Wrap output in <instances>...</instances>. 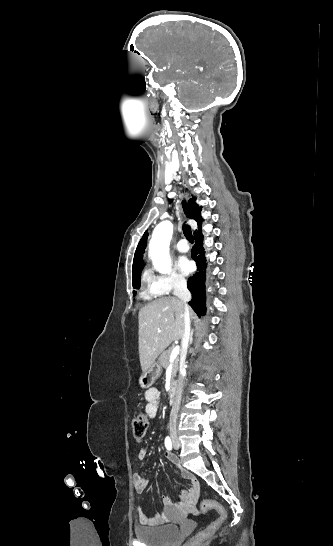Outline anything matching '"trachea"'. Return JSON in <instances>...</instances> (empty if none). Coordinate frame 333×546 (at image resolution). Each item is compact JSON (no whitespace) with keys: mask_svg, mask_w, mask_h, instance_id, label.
Instances as JSON below:
<instances>
[{"mask_svg":"<svg viewBox=\"0 0 333 546\" xmlns=\"http://www.w3.org/2000/svg\"><path fill=\"white\" fill-rule=\"evenodd\" d=\"M182 228H183V233H184L185 237H186L191 243H194V238H193V235H192V231H191L190 226L184 223Z\"/></svg>","mask_w":333,"mask_h":546,"instance_id":"1","label":"trachea"}]
</instances>
